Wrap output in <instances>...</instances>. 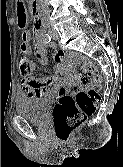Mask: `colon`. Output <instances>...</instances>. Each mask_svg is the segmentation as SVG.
<instances>
[{
	"instance_id": "colon-1",
	"label": "colon",
	"mask_w": 123,
	"mask_h": 167,
	"mask_svg": "<svg viewBox=\"0 0 123 167\" xmlns=\"http://www.w3.org/2000/svg\"><path fill=\"white\" fill-rule=\"evenodd\" d=\"M34 70L33 62L26 56L19 60L22 76L30 75ZM81 81L88 88L78 89L74 95L64 94L54 108L53 121L59 140H68L73 132L92 115L100 102L99 91L103 87V78L93 62L80 65Z\"/></svg>"
}]
</instances>
